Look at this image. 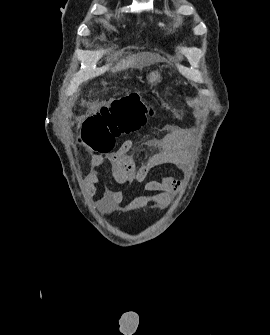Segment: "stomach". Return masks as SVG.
<instances>
[{
    "label": "stomach",
    "mask_w": 270,
    "mask_h": 335,
    "mask_svg": "<svg viewBox=\"0 0 270 335\" xmlns=\"http://www.w3.org/2000/svg\"><path fill=\"white\" fill-rule=\"evenodd\" d=\"M161 80V74L159 72V70H152V72H148L147 76H146V82L149 86V88H155V86H157V84H159Z\"/></svg>",
    "instance_id": "1"
}]
</instances>
